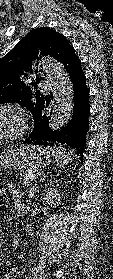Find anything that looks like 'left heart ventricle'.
Instances as JSON below:
<instances>
[{
  "label": "left heart ventricle",
  "mask_w": 113,
  "mask_h": 279,
  "mask_svg": "<svg viewBox=\"0 0 113 279\" xmlns=\"http://www.w3.org/2000/svg\"><path fill=\"white\" fill-rule=\"evenodd\" d=\"M19 121L12 112L0 113V136L12 133L18 129Z\"/></svg>",
  "instance_id": "obj_1"
}]
</instances>
